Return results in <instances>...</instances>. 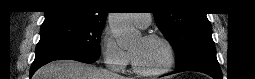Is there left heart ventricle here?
I'll return each instance as SVG.
<instances>
[{
	"mask_svg": "<svg viewBox=\"0 0 255 79\" xmlns=\"http://www.w3.org/2000/svg\"><path fill=\"white\" fill-rule=\"evenodd\" d=\"M138 66L146 71L160 69L167 60V49L159 40H145L141 38L131 48Z\"/></svg>",
	"mask_w": 255,
	"mask_h": 79,
	"instance_id": "1",
	"label": "left heart ventricle"
}]
</instances>
